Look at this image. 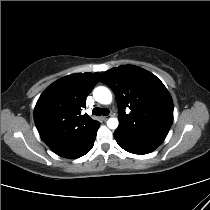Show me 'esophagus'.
Here are the masks:
<instances>
[{
	"mask_svg": "<svg viewBox=\"0 0 210 210\" xmlns=\"http://www.w3.org/2000/svg\"><path fill=\"white\" fill-rule=\"evenodd\" d=\"M108 119V116H102L101 120L106 121Z\"/></svg>",
	"mask_w": 210,
	"mask_h": 210,
	"instance_id": "esophagus-1",
	"label": "esophagus"
}]
</instances>
